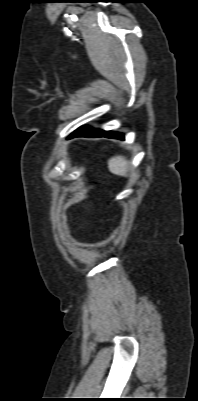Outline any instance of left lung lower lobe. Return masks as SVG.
I'll return each instance as SVG.
<instances>
[{
    "label": "left lung lower lobe",
    "instance_id": "1",
    "mask_svg": "<svg viewBox=\"0 0 198 401\" xmlns=\"http://www.w3.org/2000/svg\"><path fill=\"white\" fill-rule=\"evenodd\" d=\"M107 137V138H116V139H124L122 133L111 132V131H103L100 129H88L86 127H80L76 131H74L68 138L72 137Z\"/></svg>",
    "mask_w": 198,
    "mask_h": 401
}]
</instances>
